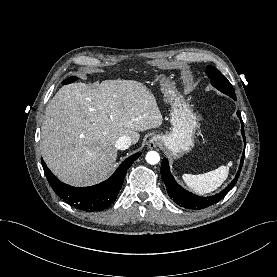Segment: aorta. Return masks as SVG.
<instances>
[{
    "label": "aorta",
    "instance_id": "aorta-1",
    "mask_svg": "<svg viewBox=\"0 0 277 277\" xmlns=\"http://www.w3.org/2000/svg\"><path fill=\"white\" fill-rule=\"evenodd\" d=\"M146 161L151 165H155V164L159 163L160 156L156 151H149L146 154Z\"/></svg>",
    "mask_w": 277,
    "mask_h": 277
}]
</instances>
